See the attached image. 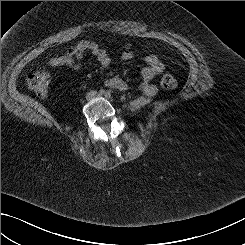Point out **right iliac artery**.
<instances>
[{
    "label": "right iliac artery",
    "mask_w": 245,
    "mask_h": 245,
    "mask_svg": "<svg viewBox=\"0 0 245 245\" xmlns=\"http://www.w3.org/2000/svg\"><path fill=\"white\" fill-rule=\"evenodd\" d=\"M99 94H100V95L105 94V90H104V89H100V90H99Z\"/></svg>",
    "instance_id": "obj_1"
}]
</instances>
